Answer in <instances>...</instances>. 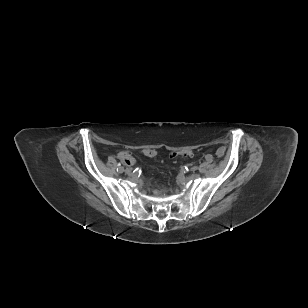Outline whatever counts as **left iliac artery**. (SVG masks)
I'll use <instances>...</instances> for the list:
<instances>
[{
    "label": "left iliac artery",
    "instance_id": "1",
    "mask_svg": "<svg viewBox=\"0 0 308 308\" xmlns=\"http://www.w3.org/2000/svg\"><path fill=\"white\" fill-rule=\"evenodd\" d=\"M205 160H206V161H212V156H206V157H205Z\"/></svg>",
    "mask_w": 308,
    "mask_h": 308
}]
</instances>
